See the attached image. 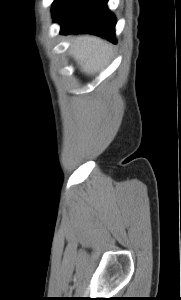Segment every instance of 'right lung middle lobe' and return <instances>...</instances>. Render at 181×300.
I'll return each instance as SVG.
<instances>
[{"label": "right lung middle lobe", "mask_w": 181, "mask_h": 300, "mask_svg": "<svg viewBox=\"0 0 181 300\" xmlns=\"http://www.w3.org/2000/svg\"><path fill=\"white\" fill-rule=\"evenodd\" d=\"M66 0H55L52 6V11L58 9L62 4H64Z\"/></svg>", "instance_id": "dd1d6c3e"}]
</instances>
